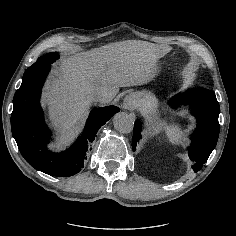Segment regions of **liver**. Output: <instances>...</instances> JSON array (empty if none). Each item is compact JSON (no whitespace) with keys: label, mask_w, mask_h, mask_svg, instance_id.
Returning a JSON list of instances; mask_svg holds the SVG:
<instances>
[{"label":"liver","mask_w":236,"mask_h":236,"mask_svg":"<svg viewBox=\"0 0 236 236\" xmlns=\"http://www.w3.org/2000/svg\"><path fill=\"white\" fill-rule=\"evenodd\" d=\"M171 48L144 41H123L62 60L56 77L46 87L55 121L64 134L83 118L95 90L103 88L113 96L120 87L143 86L157 79L154 64Z\"/></svg>","instance_id":"liver-1"}]
</instances>
